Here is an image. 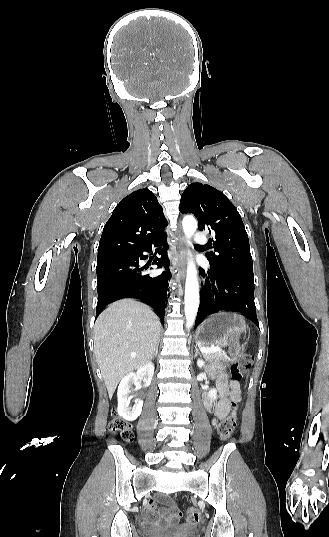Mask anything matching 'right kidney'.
Listing matches in <instances>:
<instances>
[{"label":"right kidney","instance_id":"right-kidney-1","mask_svg":"<svg viewBox=\"0 0 329 537\" xmlns=\"http://www.w3.org/2000/svg\"><path fill=\"white\" fill-rule=\"evenodd\" d=\"M154 374V365L147 363L140 367L136 373H129L126 375L118 386V414L127 421H134L140 416L143 406L142 399H136L133 407H129L130 404V392L132 384L137 385L139 380L144 381V386L150 385Z\"/></svg>","mask_w":329,"mask_h":537}]
</instances>
